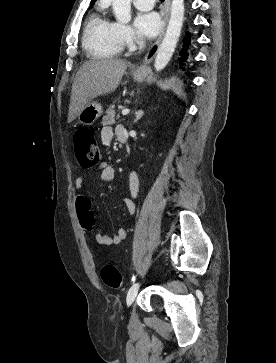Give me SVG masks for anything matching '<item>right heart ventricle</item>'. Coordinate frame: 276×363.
<instances>
[{"mask_svg":"<svg viewBox=\"0 0 276 363\" xmlns=\"http://www.w3.org/2000/svg\"><path fill=\"white\" fill-rule=\"evenodd\" d=\"M83 47L93 58H112L120 54L123 41L117 23L99 13L93 14L85 27Z\"/></svg>","mask_w":276,"mask_h":363,"instance_id":"e07e8e85","label":"right heart ventricle"}]
</instances>
